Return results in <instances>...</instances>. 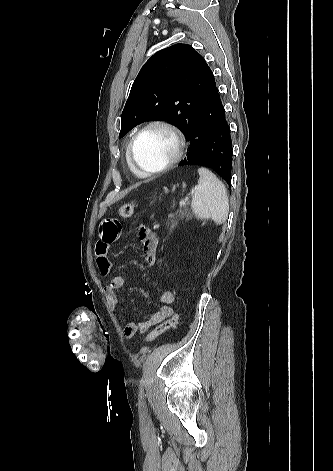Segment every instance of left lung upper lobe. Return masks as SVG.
Segmentation results:
<instances>
[{"instance_id": "left-lung-upper-lobe-1", "label": "left lung upper lobe", "mask_w": 333, "mask_h": 471, "mask_svg": "<svg viewBox=\"0 0 333 471\" xmlns=\"http://www.w3.org/2000/svg\"><path fill=\"white\" fill-rule=\"evenodd\" d=\"M206 61L187 44L155 53L136 77L122 112L119 138L138 124L165 119L187 138L214 83Z\"/></svg>"}]
</instances>
